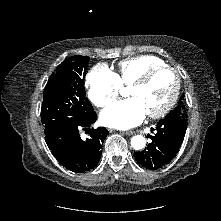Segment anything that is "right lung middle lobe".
Listing matches in <instances>:
<instances>
[{
	"label": "right lung middle lobe",
	"instance_id": "1",
	"mask_svg": "<svg viewBox=\"0 0 221 221\" xmlns=\"http://www.w3.org/2000/svg\"><path fill=\"white\" fill-rule=\"evenodd\" d=\"M88 61L87 56L69 57L49 77L41 107L45 133L81 121L94 113L83 85Z\"/></svg>",
	"mask_w": 221,
	"mask_h": 221
}]
</instances>
